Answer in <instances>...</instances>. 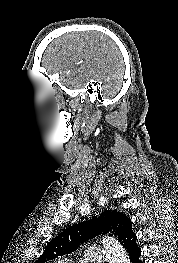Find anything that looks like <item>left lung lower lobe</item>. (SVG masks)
I'll return each mask as SVG.
<instances>
[{
  "label": "left lung lower lobe",
  "instance_id": "0a47b994",
  "mask_svg": "<svg viewBox=\"0 0 178 263\" xmlns=\"http://www.w3.org/2000/svg\"><path fill=\"white\" fill-rule=\"evenodd\" d=\"M136 240V234L132 230V222L128 219L120 233L119 241L129 253L132 263H142V261L139 260L141 250L138 247Z\"/></svg>",
  "mask_w": 178,
  "mask_h": 263
}]
</instances>
